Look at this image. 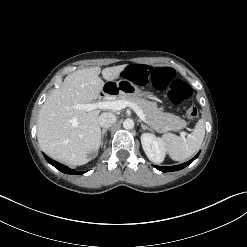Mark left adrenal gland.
I'll list each match as a JSON object with an SVG mask.
<instances>
[{
	"instance_id": "obj_1",
	"label": "left adrenal gland",
	"mask_w": 247,
	"mask_h": 247,
	"mask_svg": "<svg viewBox=\"0 0 247 247\" xmlns=\"http://www.w3.org/2000/svg\"><path fill=\"white\" fill-rule=\"evenodd\" d=\"M140 123H141V128H142L143 130L147 129V130L152 131V129H151L150 127H148L147 125H145V124L142 123L141 121H140Z\"/></svg>"
}]
</instances>
